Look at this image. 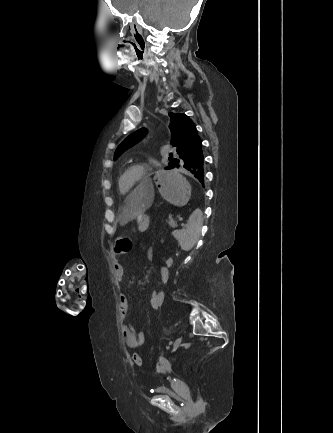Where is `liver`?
Segmentation results:
<instances>
[{
	"instance_id": "1",
	"label": "liver",
	"mask_w": 333,
	"mask_h": 433,
	"mask_svg": "<svg viewBox=\"0 0 333 433\" xmlns=\"http://www.w3.org/2000/svg\"><path fill=\"white\" fill-rule=\"evenodd\" d=\"M153 189L152 183H137V192H129V201H119L118 207L121 210L119 222L121 226L135 220L137 215H143L149 210V201H153L155 198L152 192Z\"/></svg>"
}]
</instances>
